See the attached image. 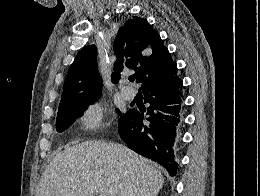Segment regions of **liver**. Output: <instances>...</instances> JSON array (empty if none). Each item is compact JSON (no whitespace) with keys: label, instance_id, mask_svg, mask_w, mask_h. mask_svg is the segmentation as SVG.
<instances>
[{"label":"liver","instance_id":"6515ba94","mask_svg":"<svg viewBox=\"0 0 260 196\" xmlns=\"http://www.w3.org/2000/svg\"><path fill=\"white\" fill-rule=\"evenodd\" d=\"M164 178L154 162L122 144L65 146L44 170L35 196H157Z\"/></svg>","mask_w":260,"mask_h":196}]
</instances>
